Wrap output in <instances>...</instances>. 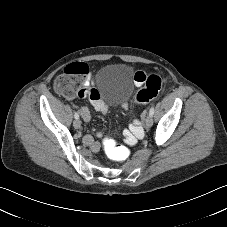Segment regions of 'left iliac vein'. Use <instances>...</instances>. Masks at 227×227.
I'll return each instance as SVG.
<instances>
[{"label":"left iliac vein","mask_w":227,"mask_h":227,"mask_svg":"<svg viewBox=\"0 0 227 227\" xmlns=\"http://www.w3.org/2000/svg\"><path fill=\"white\" fill-rule=\"evenodd\" d=\"M152 124H153V118H152V116L149 115V116H147V118L144 122V126L146 129H148L152 126Z\"/></svg>","instance_id":"1"}]
</instances>
